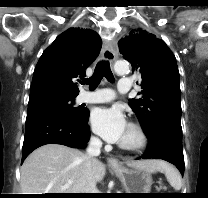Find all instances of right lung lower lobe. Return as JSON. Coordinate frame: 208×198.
<instances>
[{
    "mask_svg": "<svg viewBox=\"0 0 208 198\" xmlns=\"http://www.w3.org/2000/svg\"><path fill=\"white\" fill-rule=\"evenodd\" d=\"M89 111L83 119L62 113H44L26 119L22 162L36 148L46 144L85 147L90 137Z\"/></svg>",
    "mask_w": 208,
    "mask_h": 198,
    "instance_id": "1",
    "label": "right lung lower lobe"
}]
</instances>
